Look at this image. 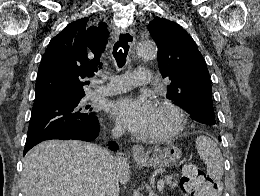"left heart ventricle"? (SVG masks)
<instances>
[{
  "label": "left heart ventricle",
  "mask_w": 260,
  "mask_h": 196,
  "mask_svg": "<svg viewBox=\"0 0 260 196\" xmlns=\"http://www.w3.org/2000/svg\"><path fill=\"white\" fill-rule=\"evenodd\" d=\"M172 122L171 115L163 108L154 105L153 121L150 128V132H154L163 129L170 125Z\"/></svg>",
  "instance_id": "1"
}]
</instances>
